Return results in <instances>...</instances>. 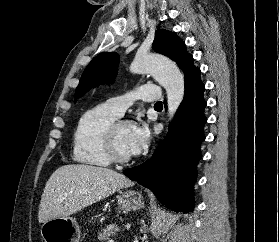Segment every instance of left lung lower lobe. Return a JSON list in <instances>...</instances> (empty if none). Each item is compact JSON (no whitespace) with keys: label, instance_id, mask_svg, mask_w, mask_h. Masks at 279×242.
Here are the masks:
<instances>
[{"label":"left lung lower lobe","instance_id":"1","mask_svg":"<svg viewBox=\"0 0 279 242\" xmlns=\"http://www.w3.org/2000/svg\"><path fill=\"white\" fill-rule=\"evenodd\" d=\"M181 69L185 78V94L169 132L150 160L123 173L150 189L167 207L188 213L193 211V185L196 166L202 158L200 147L205 140V85L200 69L190 55Z\"/></svg>","mask_w":279,"mask_h":242}]
</instances>
